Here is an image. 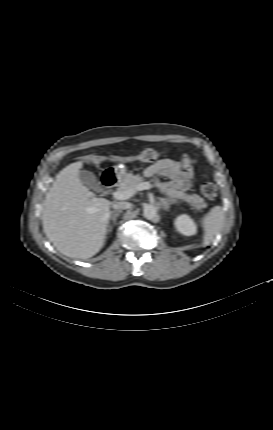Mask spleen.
I'll return each instance as SVG.
<instances>
[{
  "label": "spleen",
  "instance_id": "spleen-1",
  "mask_svg": "<svg viewBox=\"0 0 273 430\" xmlns=\"http://www.w3.org/2000/svg\"><path fill=\"white\" fill-rule=\"evenodd\" d=\"M224 209L221 206L213 207L204 218L202 224L205 230L203 244L209 245L214 237L219 234L224 225Z\"/></svg>",
  "mask_w": 273,
  "mask_h": 430
}]
</instances>
